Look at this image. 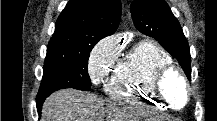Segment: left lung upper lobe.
Here are the masks:
<instances>
[{"mask_svg": "<svg viewBox=\"0 0 217 121\" xmlns=\"http://www.w3.org/2000/svg\"><path fill=\"white\" fill-rule=\"evenodd\" d=\"M131 14L136 28L156 39L178 60L191 79L190 48L180 23L165 0H134Z\"/></svg>", "mask_w": 217, "mask_h": 121, "instance_id": "left-lung-upper-lobe-1", "label": "left lung upper lobe"}]
</instances>
